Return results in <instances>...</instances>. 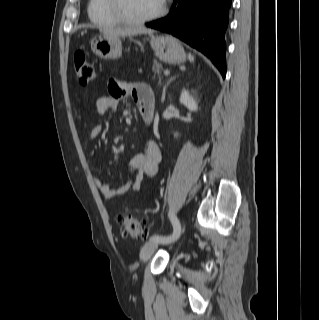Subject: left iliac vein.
Segmentation results:
<instances>
[{
  "instance_id": "4c4485c4",
  "label": "left iliac vein",
  "mask_w": 319,
  "mask_h": 320,
  "mask_svg": "<svg viewBox=\"0 0 319 320\" xmlns=\"http://www.w3.org/2000/svg\"><path fill=\"white\" fill-rule=\"evenodd\" d=\"M158 245H159V242L152 241V240L146 242L143 245L141 252H140V257L143 262H146L152 256V254L157 249Z\"/></svg>"
}]
</instances>
